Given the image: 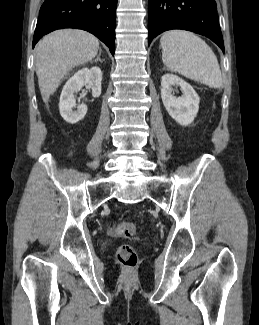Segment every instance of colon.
Segmentation results:
<instances>
[{
	"mask_svg": "<svg viewBox=\"0 0 259 325\" xmlns=\"http://www.w3.org/2000/svg\"><path fill=\"white\" fill-rule=\"evenodd\" d=\"M136 232V227L132 222L123 221L116 224L111 234L115 237L131 238ZM117 261L124 267H134L137 263V254L132 245L122 244L116 252Z\"/></svg>",
	"mask_w": 259,
	"mask_h": 325,
	"instance_id": "colon-1",
	"label": "colon"
}]
</instances>
